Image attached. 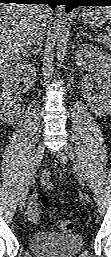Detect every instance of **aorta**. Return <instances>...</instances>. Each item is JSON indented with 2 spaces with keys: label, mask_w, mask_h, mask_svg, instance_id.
<instances>
[{
  "label": "aorta",
  "mask_w": 111,
  "mask_h": 257,
  "mask_svg": "<svg viewBox=\"0 0 111 257\" xmlns=\"http://www.w3.org/2000/svg\"><path fill=\"white\" fill-rule=\"evenodd\" d=\"M65 23H66V13L65 7H59V27L60 30L57 34L58 47H57V58L59 61H62L66 54V33H65Z\"/></svg>",
  "instance_id": "762f6f07"
}]
</instances>
